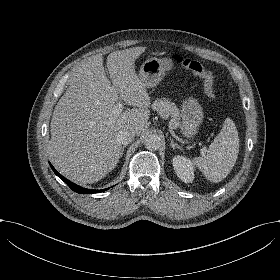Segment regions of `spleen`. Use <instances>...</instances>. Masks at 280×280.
Masks as SVG:
<instances>
[{
	"mask_svg": "<svg viewBox=\"0 0 280 280\" xmlns=\"http://www.w3.org/2000/svg\"><path fill=\"white\" fill-rule=\"evenodd\" d=\"M239 153V137L234 122L226 118L206 155L193 159L194 165L214 183L222 181L234 167Z\"/></svg>",
	"mask_w": 280,
	"mask_h": 280,
	"instance_id": "3e777b00",
	"label": "spleen"
}]
</instances>
